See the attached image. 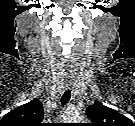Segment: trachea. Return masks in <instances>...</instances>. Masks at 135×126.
I'll use <instances>...</instances> for the list:
<instances>
[{
  "mask_svg": "<svg viewBox=\"0 0 135 126\" xmlns=\"http://www.w3.org/2000/svg\"><path fill=\"white\" fill-rule=\"evenodd\" d=\"M71 98V90H66L61 97V105L64 106Z\"/></svg>",
  "mask_w": 135,
  "mask_h": 126,
  "instance_id": "1",
  "label": "trachea"
}]
</instances>
